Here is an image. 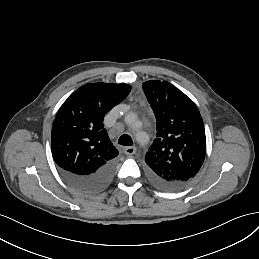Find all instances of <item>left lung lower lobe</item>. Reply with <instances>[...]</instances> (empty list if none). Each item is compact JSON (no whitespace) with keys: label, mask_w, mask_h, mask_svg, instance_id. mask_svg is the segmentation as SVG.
I'll list each match as a JSON object with an SVG mask.
<instances>
[{"label":"left lung lower lobe","mask_w":259,"mask_h":259,"mask_svg":"<svg viewBox=\"0 0 259 259\" xmlns=\"http://www.w3.org/2000/svg\"><path fill=\"white\" fill-rule=\"evenodd\" d=\"M148 176L154 185L164 190H177L187 184V183H177V182H164L156 179L155 177L151 176L149 173H148Z\"/></svg>","instance_id":"1"}]
</instances>
